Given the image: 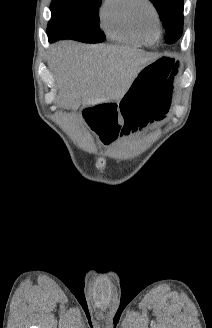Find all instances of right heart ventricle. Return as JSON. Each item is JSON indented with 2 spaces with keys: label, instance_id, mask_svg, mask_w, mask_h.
Instances as JSON below:
<instances>
[{
  "label": "right heart ventricle",
  "instance_id": "obj_1",
  "mask_svg": "<svg viewBox=\"0 0 212 328\" xmlns=\"http://www.w3.org/2000/svg\"><path fill=\"white\" fill-rule=\"evenodd\" d=\"M134 0H104L100 9V24L112 39L131 45H151L158 33H141L136 28L131 8Z\"/></svg>",
  "mask_w": 212,
  "mask_h": 328
}]
</instances>
